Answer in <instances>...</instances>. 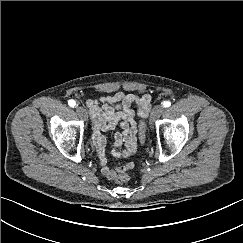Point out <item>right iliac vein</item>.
Here are the masks:
<instances>
[{
	"label": "right iliac vein",
	"mask_w": 243,
	"mask_h": 243,
	"mask_svg": "<svg viewBox=\"0 0 243 243\" xmlns=\"http://www.w3.org/2000/svg\"><path fill=\"white\" fill-rule=\"evenodd\" d=\"M76 112L78 114V116L84 120L88 119V115H87V111L85 110V108L81 107V106H77L76 107Z\"/></svg>",
	"instance_id": "1"
}]
</instances>
